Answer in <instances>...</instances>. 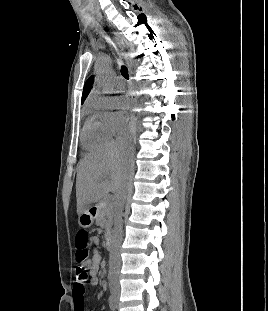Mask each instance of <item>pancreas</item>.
I'll return each instance as SVG.
<instances>
[{"mask_svg": "<svg viewBox=\"0 0 268 311\" xmlns=\"http://www.w3.org/2000/svg\"><path fill=\"white\" fill-rule=\"evenodd\" d=\"M114 206L115 203L111 199H104L99 204L98 214L96 217V224L104 230L105 237L109 233L112 226Z\"/></svg>", "mask_w": 268, "mask_h": 311, "instance_id": "1", "label": "pancreas"}]
</instances>
